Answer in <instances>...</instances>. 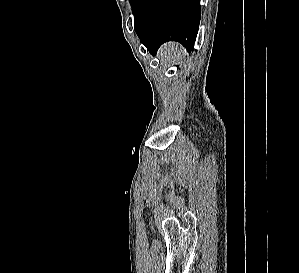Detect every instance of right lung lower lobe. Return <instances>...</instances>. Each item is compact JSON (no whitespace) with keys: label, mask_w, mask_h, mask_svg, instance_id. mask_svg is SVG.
I'll return each mask as SVG.
<instances>
[{"label":"right lung lower lobe","mask_w":299,"mask_h":273,"mask_svg":"<svg viewBox=\"0 0 299 273\" xmlns=\"http://www.w3.org/2000/svg\"><path fill=\"white\" fill-rule=\"evenodd\" d=\"M134 27L152 55L167 41H178L193 50L200 18V0H136Z\"/></svg>","instance_id":"right-lung-lower-lobe-1"}]
</instances>
